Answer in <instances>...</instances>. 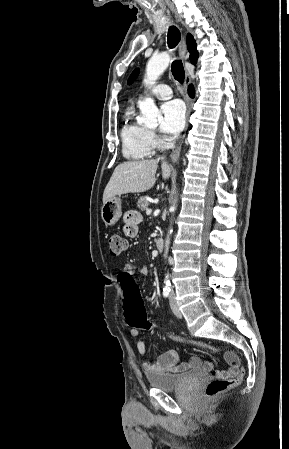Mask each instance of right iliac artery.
Wrapping results in <instances>:
<instances>
[{
  "mask_svg": "<svg viewBox=\"0 0 289 449\" xmlns=\"http://www.w3.org/2000/svg\"><path fill=\"white\" fill-rule=\"evenodd\" d=\"M169 294H170V289L166 288V289L163 290V296L164 297H168Z\"/></svg>",
  "mask_w": 289,
  "mask_h": 449,
  "instance_id": "1",
  "label": "right iliac artery"
}]
</instances>
